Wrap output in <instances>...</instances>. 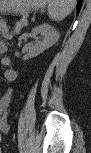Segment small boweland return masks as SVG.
Here are the masks:
<instances>
[{"label": "small bowel", "mask_w": 91, "mask_h": 153, "mask_svg": "<svg viewBox=\"0 0 91 153\" xmlns=\"http://www.w3.org/2000/svg\"><path fill=\"white\" fill-rule=\"evenodd\" d=\"M10 103H11V94L10 93L4 94L0 100V107L4 114L0 121V130L5 135H7L10 130V127L6 118V112L10 106Z\"/></svg>", "instance_id": "1"}]
</instances>
